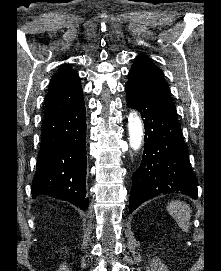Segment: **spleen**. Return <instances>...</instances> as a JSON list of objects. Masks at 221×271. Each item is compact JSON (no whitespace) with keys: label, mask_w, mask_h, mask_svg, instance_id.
Returning <instances> with one entry per match:
<instances>
[{"label":"spleen","mask_w":221,"mask_h":271,"mask_svg":"<svg viewBox=\"0 0 221 271\" xmlns=\"http://www.w3.org/2000/svg\"><path fill=\"white\" fill-rule=\"evenodd\" d=\"M167 209L172 215L173 219L177 221L179 227H181L182 231H189V227L191 225V207L185 201H179V199H175V201H171L169 205H167Z\"/></svg>","instance_id":"1"}]
</instances>
